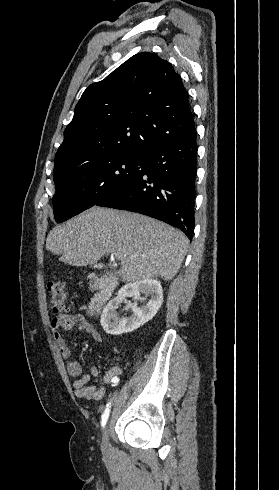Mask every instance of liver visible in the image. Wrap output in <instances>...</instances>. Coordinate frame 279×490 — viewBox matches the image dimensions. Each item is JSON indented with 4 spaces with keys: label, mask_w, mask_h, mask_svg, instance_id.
Here are the masks:
<instances>
[{
    "label": "liver",
    "mask_w": 279,
    "mask_h": 490,
    "mask_svg": "<svg viewBox=\"0 0 279 490\" xmlns=\"http://www.w3.org/2000/svg\"><path fill=\"white\" fill-rule=\"evenodd\" d=\"M183 232L141 214L93 206L48 234L46 250L69 266H91L114 254L121 282L173 280L186 256Z\"/></svg>",
    "instance_id": "obj_1"
}]
</instances>
